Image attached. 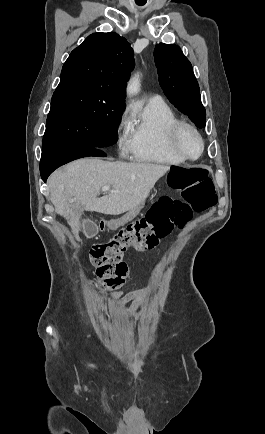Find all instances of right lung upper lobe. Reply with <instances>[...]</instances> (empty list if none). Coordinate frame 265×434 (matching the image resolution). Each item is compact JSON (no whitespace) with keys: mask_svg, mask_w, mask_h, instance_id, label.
<instances>
[{"mask_svg":"<svg viewBox=\"0 0 265 434\" xmlns=\"http://www.w3.org/2000/svg\"><path fill=\"white\" fill-rule=\"evenodd\" d=\"M134 53L117 33H93L75 48L62 67L60 83L86 82L125 98Z\"/></svg>","mask_w":265,"mask_h":434,"instance_id":"1","label":"right lung upper lobe"}]
</instances>
